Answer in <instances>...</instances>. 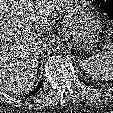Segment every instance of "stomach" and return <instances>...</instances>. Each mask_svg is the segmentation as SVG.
Instances as JSON below:
<instances>
[{"instance_id": "obj_1", "label": "stomach", "mask_w": 113, "mask_h": 113, "mask_svg": "<svg viewBox=\"0 0 113 113\" xmlns=\"http://www.w3.org/2000/svg\"><path fill=\"white\" fill-rule=\"evenodd\" d=\"M63 12V32L71 37L79 50L92 49L100 38L102 25L99 17L91 11L89 1L64 0Z\"/></svg>"}]
</instances>
